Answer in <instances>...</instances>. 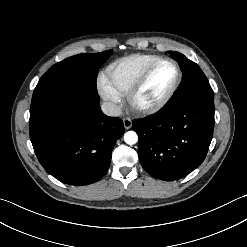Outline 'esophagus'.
I'll return each instance as SVG.
<instances>
[{"label": "esophagus", "mask_w": 247, "mask_h": 247, "mask_svg": "<svg viewBox=\"0 0 247 247\" xmlns=\"http://www.w3.org/2000/svg\"><path fill=\"white\" fill-rule=\"evenodd\" d=\"M125 129H130L132 126V120L129 117L123 119Z\"/></svg>", "instance_id": "obj_1"}]
</instances>
